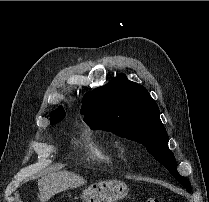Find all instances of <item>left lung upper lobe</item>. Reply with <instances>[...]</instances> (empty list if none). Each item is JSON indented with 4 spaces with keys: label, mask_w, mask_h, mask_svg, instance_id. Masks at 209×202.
Returning a JSON list of instances; mask_svg holds the SVG:
<instances>
[{
    "label": "left lung upper lobe",
    "mask_w": 209,
    "mask_h": 202,
    "mask_svg": "<svg viewBox=\"0 0 209 202\" xmlns=\"http://www.w3.org/2000/svg\"><path fill=\"white\" fill-rule=\"evenodd\" d=\"M81 114L90 126L141 143L147 151L191 192L188 179L176 169L158 105L145 87L120 74L106 85L85 94Z\"/></svg>",
    "instance_id": "5c2ea615"
}]
</instances>
